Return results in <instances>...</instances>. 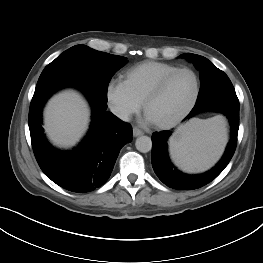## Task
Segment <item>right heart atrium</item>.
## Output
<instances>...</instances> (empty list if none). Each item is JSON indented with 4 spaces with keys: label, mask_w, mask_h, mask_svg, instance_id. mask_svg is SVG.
Here are the masks:
<instances>
[{
    "label": "right heart atrium",
    "mask_w": 263,
    "mask_h": 263,
    "mask_svg": "<svg viewBox=\"0 0 263 263\" xmlns=\"http://www.w3.org/2000/svg\"><path fill=\"white\" fill-rule=\"evenodd\" d=\"M105 98L111 112L123 121L128 120L141 108V103L120 79H112L107 83Z\"/></svg>",
    "instance_id": "1"
}]
</instances>
